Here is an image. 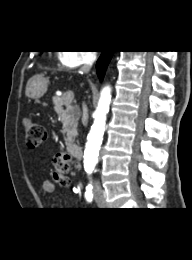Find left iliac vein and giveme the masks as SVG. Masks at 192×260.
I'll return each mask as SVG.
<instances>
[{
	"mask_svg": "<svg viewBox=\"0 0 192 260\" xmlns=\"http://www.w3.org/2000/svg\"><path fill=\"white\" fill-rule=\"evenodd\" d=\"M95 200L96 203L99 207H105L106 203H105V198L102 192H97L95 195Z\"/></svg>",
	"mask_w": 192,
	"mask_h": 260,
	"instance_id": "left-iliac-vein-1",
	"label": "left iliac vein"
}]
</instances>
